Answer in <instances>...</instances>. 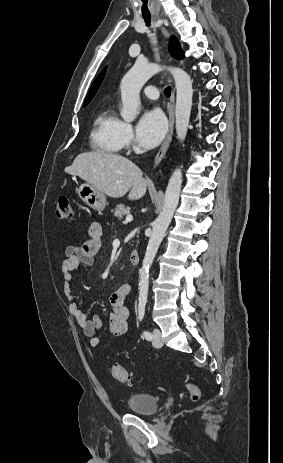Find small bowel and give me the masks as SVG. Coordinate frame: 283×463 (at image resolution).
Returning a JSON list of instances; mask_svg holds the SVG:
<instances>
[{"label":"small bowel","mask_w":283,"mask_h":463,"mask_svg":"<svg viewBox=\"0 0 283 463\" xmlns=\"http://www.w3.org/2000/svg\"><path fill=\"white\" fill-rule=\"evenodd\" d=\"M102 226L98 221H92L88 228V238L79 246H68L65 249V259L62 264L63 292L68 302L69 311L84 334L88 337L92 347L100 345L98 332L103 328V322L98 315L89 317L81 308L80 302L72 289V272L80 264L92 266L95 256L101 247ZM131 287L129 284H122L110 296L112 313L108 320V330L114 336H126L129 333L130 311L125 305Z\"/></svg>","instance_id":"1"}]
</instances>
